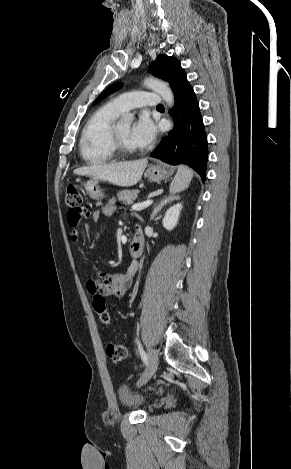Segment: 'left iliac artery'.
I'll use <instances>...</instances> for the list:
<instances>
[{"label":"left iliac artery","instance_id":"1","mask_svg":"<svg viewBox=\"0 0 291 469\" xmlns=\"http://www.w3.org/2000/svg\"><path fill=\"white\" fill-rule=\"evenodd\" d=\"M137 344H138V349H139V352H140V355H141V358L143 360V362L145 364H147V361H148V358H147V354L145 353V351L143 350L139 340H137Z\"/></svg>","mask_w":291,"mask_h":469}]
</instances>
